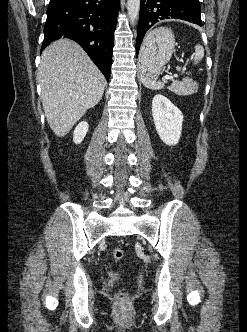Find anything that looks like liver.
Instances as JSON below:
<instances>
[{"label": "liver", "instance_id": "6515ba94", "mask_svg": "<svg viewBox=\"0 0 247 332\" xmlns=\"http://www.w3.org/2000/svg\"><path fill=\"white\" fill-rule=\"evenodd\" d=\"M37 78L47 122L58 137L101 100L106 84L83 49L69 39L57 40L43 51Z\"/></svg>", "mask_w": 247, "mask_h": 332}]
</instances>
